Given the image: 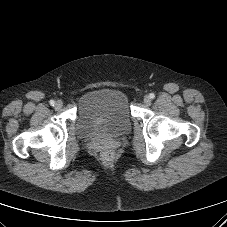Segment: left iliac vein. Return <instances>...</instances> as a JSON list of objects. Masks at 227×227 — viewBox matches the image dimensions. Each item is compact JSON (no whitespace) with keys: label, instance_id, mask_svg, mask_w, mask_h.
<instances>
[{"label":"left iliac vein","instance_id":"obj_1","mask_svg":"<svg viewBox=\"0 0 227 227\" xmlns=\"http://www.w3.org/2000/svg\"><path fill=\"white\" fill-rule=\"evenodd\" d=\"M144 103L146 105H150L151 104V98L149 96H145L143 99Z\"/></svg>","mask_w":227,"mask_h":227}]
</instances>
